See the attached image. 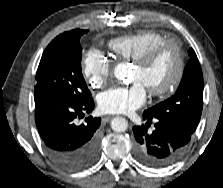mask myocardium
I'll return each mask as SVG.
<instances>
[{
	"instance_id": "1",
	"label": "myocardium",
	"mask_w": 223,
	"mask_h": 188,
	"mask_svg": "<svg viewBox=\"0 0 223 188\" xmlns=\"http://www.w3.org/2000/svg\"><path fill=\"white\" fill-rule=\"evenodd\" d=\"M172 49L176 57V68L173 77L168 84L162 88L149 89L153 97H165L172 94L181 83L185 73V58L182 46L175 40H164L148 49L142 56L134 60V65L140 69L147 68L166 49Z\"/></svg>"
}]
</instances>
